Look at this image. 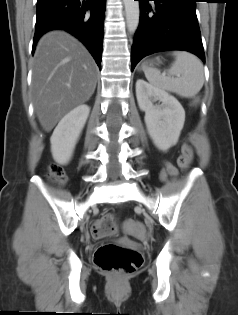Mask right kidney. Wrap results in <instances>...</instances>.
<instances>
[{
    "label": "right kidney",
    "instance_id": "obj_1",
    "mask_svg": "<svg viewBox=\"0 0 238 315\" xmlns=\"http://www.w3.org/2000/svg\"><path fill=\"white\" fill-rule=\"evenodd\" d=\"M89 112L88 105H79L58 123L50 138L52 156L57 163L64 165L70 161Z\"/></svg>",
    "mask_w": 238,
    "mask_h": 315
}]
</instances>
